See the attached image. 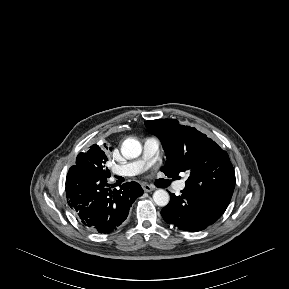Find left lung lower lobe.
<instances>
[{"mask_svg": "<svg viewBox=\"0 0 289 289\" xmlns=\"http://www.w3.org/2000/svg\"><path fill=\"white\" fill-rule=\"evenodd\" d=\"M181 193V196L170 193L169 204L161 210L165 222L181 230H204L213 224L229 205L192 189L185 188Z\"/></svg>", "mask_w": 289, "mask_h": 289, "instance_id": "0a47b994", "label": "left lung lower lobe"}]
</instances>
